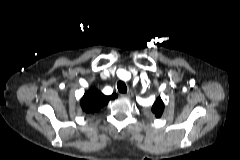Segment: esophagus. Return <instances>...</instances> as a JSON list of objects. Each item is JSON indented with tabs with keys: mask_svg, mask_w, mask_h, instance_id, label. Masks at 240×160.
<instances>
[{
	"mask_svg": "<svg viewBox=\"0 0 240 160\" xmlns=\"http://www.w3.org/2000/svg\"><path fill=\"white\" fill-rule=\"evenodd\" d=\"M127 98H131L133 96L132 92H128L127 94L124 95Z\"/></svg>",
	"mask_w": 240,
	"mask_h": 160,
	"instance_id": "34e87169",
	"label": "esophagus"
}]
</instances>
